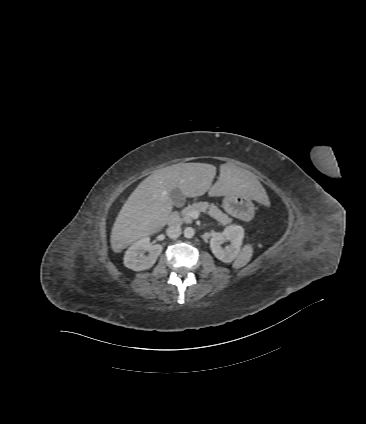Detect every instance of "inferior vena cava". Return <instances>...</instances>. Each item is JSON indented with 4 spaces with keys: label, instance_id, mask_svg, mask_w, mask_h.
I'll list each match as a JSON object with an SVG mask.
<instances>
[{
    "label": "inferior vena cava",
    "instance_id": "inferior-vena-cava-1",
    "mask_svg": "<svg viewBox=\"0 0 366 424\" xmlns=\"http://www.w3.org/2000/svg\"><path fill=\"white\" fill-rule=\"evenodd\" d=\"M167 236L171 239H176L181 235V228L178 226H171L166 231Z\"/></svg>",
    "mask_w": 366,
    "mask_h": 424
}]
</instances>
